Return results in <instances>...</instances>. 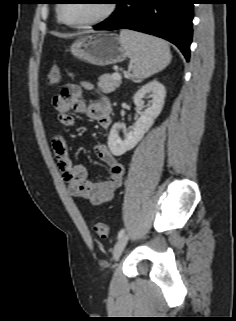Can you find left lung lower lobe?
<instances>
[{"label": "left lung lower lobe", "instance_id": "obj_1", "mask_svg": "<svg viewBox=\"0 0 236 321\" xmlns=\"http://www.w3.org/2000/svg\"><path fill=\"white\" fill-rule=\"evenodd\" d=\"M195 0H115L117 9L96 30L131 29L166 39L189 61Z\"/></svg>", "mask_w": 236, "mask_h": 321}]
</instances>
